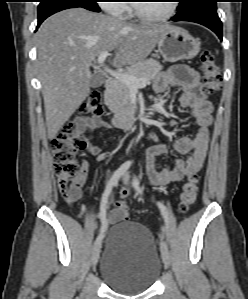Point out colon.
<instances>
[{"instance_id": "colon-1", "label": "colon", "mask_w": 248, "mask_h": 299, "mask_svg": "<svg viewBox=\"0 0 248 299\" xmlns=\"http://www.w3.org/2000/svg\"><path fill=\"white\" fill-rule=\"evenodd\" d=\"M200 60L203 90L207 94H213L221 84V75L215 57L211 51L206 50L202 52ZM80 112L94 116L103 114L104 107L98 91H92L89 94L81 105ZM85 145L83 135L75 132L72 124L65 126L50 143L58 186L70 206H74L81 197L85 167L80 163L78 155ZM199 181L197 173L191 174L185 181L180 194L179 211L181 213H187L193 205L198 193ZM118 214L121 220L128 219V206L125 203L119 205Z\"/></svg>"}]
</instances>
